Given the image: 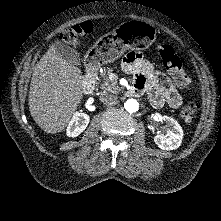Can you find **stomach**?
<instances>
[{
	"instance_id": "obj_1",
	"label": "stomach",
	"mask_w": 221,
	"mask_h": 221,
	"mask_svg": "<svg viewBox=\"0 0 221 221\" xmlns=\"http://www.w3.org/2000/svg\"><path fill=\"white\" fill-rule=\"evenodd\" d=\"M156 37L153 25L148 21L128 22L115 27L111 34L100 37L86 54L92 65L101 66L114 62L127 49L149 47Z\"/></svg>"
}]
</instances>
